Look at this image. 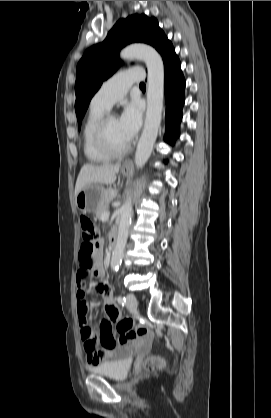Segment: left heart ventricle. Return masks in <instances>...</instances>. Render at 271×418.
I'll use <instances>...</instances> for the list:
<instances>
[{
    "instance_id": "obj_1",
    "label": "left heart ventricle",
    "mask_w": 271,
    "mask_h": 418,
    "mask_svg": "<svg viewBox=\"0 0 271 418\" xmlns=\"http://www.w3.org/2000/svg\"><path fill=\"white\" fill-rule=\"evenodd\" d=\"M108 139L112 146L121 148L128 143L125 138L119 123V119L114 117L110 120L108 125Z\"/></svg>"
}]
</instances>
